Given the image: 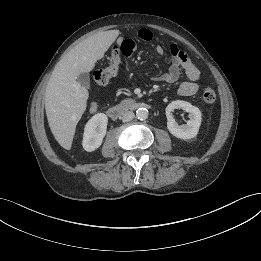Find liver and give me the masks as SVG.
<instances>
[{
	"mask_svg": "<svg viewBox=\"0 0 261 261\" xmlns=\"http://www.w3.org/2000/svg\"><path fill=\"white\" fill-rule=\"evenodd\" d=\"M119 34V30H108L82 41L57 63L48 81L45 91L48 124L63 148L71 147L76 125L89 97L88 90L79 84L77 76L92 71Z\"/></svg>",
	"mask_w": 261,
	"mask_h": 261,
	"instance_id": "obj_1",
	"label": "liver"
}]
</instances>
